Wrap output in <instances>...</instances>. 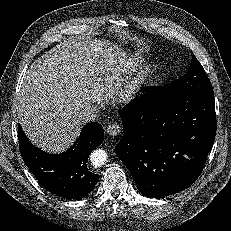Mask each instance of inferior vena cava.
<instances>
[{
  "label": "inferior vena cava",
  "instance_id": "obj_1",
  "mask_svg": "<svg viewBox=\"0 0 231 231\" xmlns=\"http://www.w3.org/2000/svg\"><path fill=\"white\" fill-rule=\"evenodd\" d=\"M97 108L93 105L85 106L79 113L78 119L83 123L94 121L97 117Z\"/></svg>",
  "mask_w": 231,
  "mask_h": 231
}]
</instances>
